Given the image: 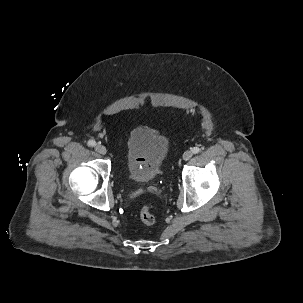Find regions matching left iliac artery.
Returning <instances> with one entry per match:
<instances>
[{"label": "left iliac artery", "mask_w": 303, "mask_h": 303, "mask_svg": "<svg viewBox=\"0 0 303 303\" xmlns=\"http://www.w3.org/2000/svg\"><path fill=\"white\" fill-rule=\"evenodd\" d=\"M192 152H193L194 154H197V153L200 152V148L194 147V148L192 149Z\"/></svg>", "instance_id": "left-iliac-artery-1"}]
</instances>
